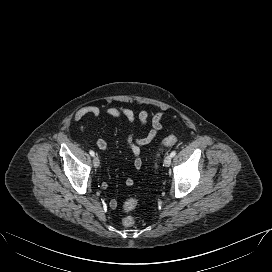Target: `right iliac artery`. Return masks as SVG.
Here are the masks:
<instances>
[{"label": "right iliac artery", "mask_w": 272, "mask_h": 272, "mask_svg": "<svg viewBox=\"0 0 272 272\" xmlns=\"http://www.w3.org/2000/svg\"><path fill=\"white\" fill-rule=\"evenodd\" d=\"M89 153H90L91 156H95L94 151L90 150Z\"/></svg>", "instance_id": "obj_1"}]
</instances>
